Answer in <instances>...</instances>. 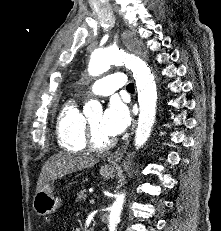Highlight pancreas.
Listing matches in <instances>:
<instances>
[{"instance_id":"cf45deb5","label":"pancreas","mask_w":221,"mask_h":231,"mask_svg":"<svg viewBox=\"0 0 221 231\" xmlns=\"http://www.w3.org/2000/svg\"><path fill=\"white\" fill-rule=\"evenodd\" d=\"M86 198H87V191H86V189L81 190L80 192L77 193L76 202L86 201Z\"/></svg>"}]
</instances>
